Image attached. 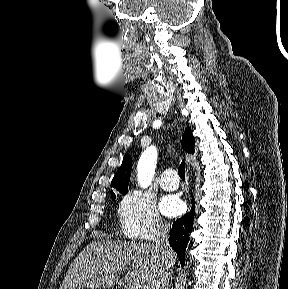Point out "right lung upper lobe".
<instances>
[{
  "label": "right lung upper lobe",
  "mask_w": 288,
  "mask_h": 289,
  "mask_svg": "<svg viewBox=\"0 0 288 289\" xmlns=\"http://www.w3.org/2000/svg\"><path fill=\"white\" fill-rule=\"evenodd\" d=\"M194 144L195 139L192 135L191 128L187 127L182 137V147L186 152L194 153ZM131 169L132 158L128 153H126L120 168L116 172L111 182V187H113L117 191H127L130 181Z\"/></svg>",
  "instance_id": "obj_1"
}]
</instances>
